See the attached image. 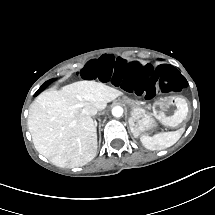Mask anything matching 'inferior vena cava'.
<instances>
[{
    "mask_svg": "<svg viewBox=\"0 0 215 215\" xmlns=\"http://www.w3.org/2000/svg\"><path fill=\"white\" fill-rule=\"evenodd\" d=\"M83 114L93 116L97 114V109L94 106H85L82 110Z\"/></svg>",
    "mask_w": 215,
    "mask_h": 215,
    "instance_id": "inferior-vena-cava-1",
    "label": "inferior vena cava"
}]
</instances>
